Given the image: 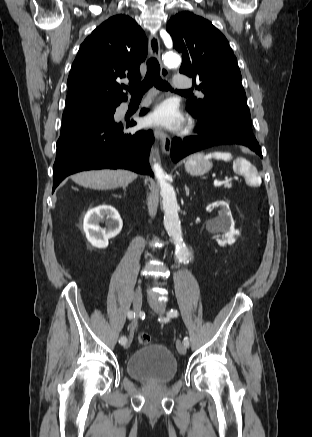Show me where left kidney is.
<instances>
[{
  "instance_id": "1",
  "label": "left kidney",
  "mask_w": 312,
  "mask_h": 437,
  "mask_svg": "<svg viewBox=\"0 0 312 437\" xmlns=\"http://www.w3.org/2000/svg\"><path fill=\"white\" fill-rule=\"evenodd\" d=\"M220 206L219 214L216 218L209 221V226L212 233H222L221 238H217V243L220 246L226 244H233L235 242V235H239V231L234 228V220L229 208V205L224 201H217L209 204L206 210H210L211 207Z\"/></svg>"
}]
</instances>
